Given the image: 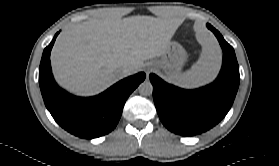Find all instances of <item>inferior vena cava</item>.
Masks as SVG:
<instances>
[{"label": "inferior vena cava", "mask_w": 279, "mask_h": 166, "mask_svg": "<svg viewBox=\"0 0 279 166\" xmlns=\"http://www.w3.org/2000/svg\"><path fill=\"white\" fill-rule=\"evenodd\" d=\"M132 69L133 68L129 65L123 66L121 69L122 76L126 77V76L130 75L132 72Z\"/></svg>", "instance_id": "602c4592"}]
</instances>
